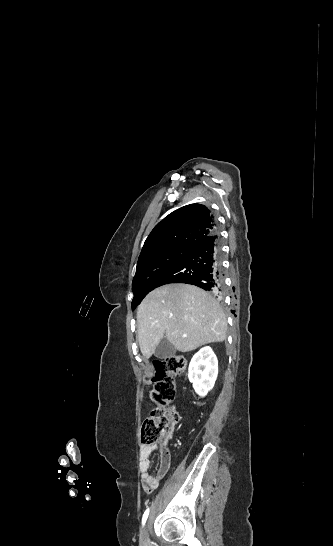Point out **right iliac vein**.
<instances>
[{
  "mask_svg": "<svg viewBox=\"0 0 333 546\" xmlns=\"http://www.w3.org/2000/svg\"><path fill=\"white\" fill-rule=\"evenodd\" d=\"M141 541H142L143 545H145L148 542L147 525L145 526V528H144V530L142 532Z\"/></svg>",
  "mask_w": 333,
  "mask_h": 546,
  "instance_id": "63e3f726",
  "label": "right iliac vein"
}]
</instances>
